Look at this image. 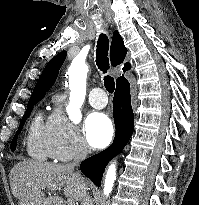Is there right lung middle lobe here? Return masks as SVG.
<instances>
[{"label": "right lung middle lobe", "mask_w": 199, "mask_h": 205, "mask_svg": "<svg viewBox=\"0 0 199 205\" xmlns=\"http://www.w3.org/2000/svg\"><path fill=\"white\" fill-rule=\"evenodd\" d=\"M40 100H41V99H37V100H33V101L28 102L26 112H25L24 116H23L22 119H21V122H20L19 128H18V130H17V133L14 135L13 140H12V142H11V147H10V148H11L12 151H14L15 148H16L18 134L21 132V130H22L23 126H24V123H25L26 119L29 117V115H30V113H31V111H32V109H33V106H34L36 103H38Z\"/></svg>", "instance_id": "dd1d6c3e"}]
</instances>
